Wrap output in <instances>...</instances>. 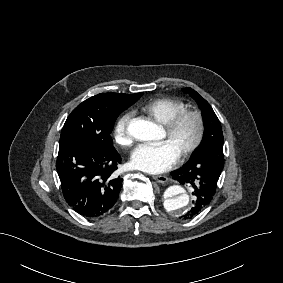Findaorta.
Instances as JSON below:
<instances>
[{
	"mask_svg": "<svg viewBox=\"0 0 283 283\" xmlns=\"http://www.w3.org/2000/svg\"><path fill=\"white\" fill-rule=\"evenodd\" d=\"M129 134L137 140L149 141L160 138L161 129L151 121L134 119L128 125ZM165 210L175 216L185 214L191 208V197L188 190L175 184L168 187L163 194Z\"/></svg>",
	"mask_w": 283,
	"mask_h": 283,
	"instance_id": "762f6f07",
	"label": "aorta"
}]
</instances>
